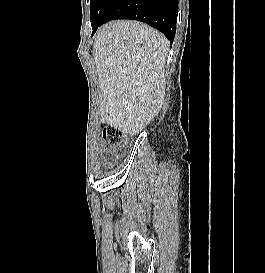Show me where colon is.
Returning a JSON list of instances; mask_svg holds the SVG:
<instances>
[{"label": "colon", "mask_w": 265, "mask_h": 273, "mask_svg": "<svg viewBox=\"0 0 265 273\" xmlns=\"http://www.w3.org/2000/svg\"><path fill=\"white\" fill-rule=\"evenodd\" d=\"M103 140L107 150L116 152L124 140V132L116 126L108 125L103 130Z\"/></svg>", "instance_id": "obj_1"}]
</instances>
